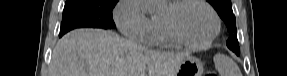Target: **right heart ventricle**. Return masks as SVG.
Instances as JSON below:
<instances>
[{"label":"right heart ventricle","mask_w":287,"mask_h":76,"mask_svg":"<svg viewBox=\"0 0 287 76\" xmlns=\"http://www.w3.org/2000/svg\"><path fill=\"white\" fill-rule=\"evenodd\" d=\"M152 33L149 41L147 42L153 46L159 47H173L176 44L172 41L167 33L163 14H155L151 17Z\"/></svg>","instance_id":"1"}]
</instances>
